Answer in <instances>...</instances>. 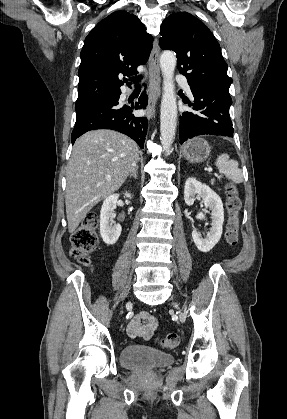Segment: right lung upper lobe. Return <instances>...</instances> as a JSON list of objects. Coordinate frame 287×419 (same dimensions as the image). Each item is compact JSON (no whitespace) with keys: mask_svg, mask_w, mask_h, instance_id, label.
<instances>
[{"mask_svg":"<svg viewBox=\"0 0 287 419\" xmlns=\"http://www.w3.org/2000/svg\"><path fill=\"white\" fill-rule=\"evenodd\" d=\"M152 42L141 21L126 11H115L100 21L81 51L76 106L119 96L123 82L118 76L137 75V66L149 58Z\"/></svg>","mask_w":287,"mask_h":419,"instance_id":"right-lung-upper-lobe-1","label":"right lung upper lobe"}]
</instances>
